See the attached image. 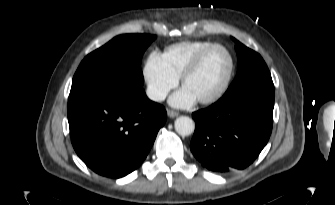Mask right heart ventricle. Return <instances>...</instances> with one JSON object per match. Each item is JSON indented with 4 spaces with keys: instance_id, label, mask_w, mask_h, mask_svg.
<instances>
[{
    "instance_id": "1",
    "label": "right heart ventricle",
    "mask_w": 335,
    "mask_h": 205,
    "mask_svg": "<svg viewBox=\"0 0 335 205\" xmlns=\"http://www.w3.org/2000/svg\"><path fill=\"white\" fill-rule=\"evenodd\" d=\"M213 44L210 41H182L166 47L162 57L168 68L178 77L193 58L204 48Z\"/></svg>"
}]
</instances>
